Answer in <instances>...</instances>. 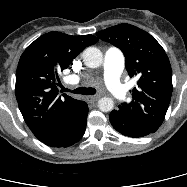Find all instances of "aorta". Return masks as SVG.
<instances>
[{
    "label": "aorta",
    "mask_w": 187,
    "mask_h": 187,
    "mask_svg": "<svg viewBox=\"0 0 187 187\" xmlns=\"http://www.w3.org/2000/svg\"><path fill=\"white\" fill-rule=\"evenodd\" d=\"M84 64L89 68H97L103 62L102 52L96 47H87L82 55ZM98 108L102 112L112 111L114 108V101L109 97H102L98 101Z\"/></svg>",
    "instance_id": "obj_1"
}]
</instances>
